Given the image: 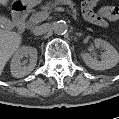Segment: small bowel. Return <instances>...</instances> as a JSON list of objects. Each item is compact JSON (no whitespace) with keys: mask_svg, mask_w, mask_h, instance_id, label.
I'll return each instance as SVG.
<instances>
[{"mask_svg":"<svg viewBox=\"0 0 119 119\" xmlns=\"http://www.w3.org/2000/svg\"><path fill=\"white\" fill-rule=\"evenodd\" d=\"M96 1L86 0L82 3L81 9L84 18L98 26L105 27L119 17V8L116 6H102L96 9Z\"/></svg>","mask_w":119,"mask_h":119,"instance_id":"c3829d8e","label":"small bowel"}]
</instances>
